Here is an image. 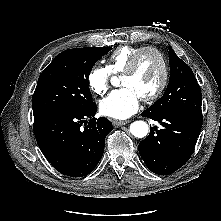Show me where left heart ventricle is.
Wrapping results in <instances>:
<instances>
[{
  "instance_id": "obj_1",
  "label": "left heart ventricle",
  "mask_w": 221,
  "mask_h": 221,
  "mask_svg": "<svg viewBox=\"0 0 221 221\" xmlns=\"http://www.w3.org/2000/svg\"><path fill=\"white\" fill-rule=\"evenodd\" d=\"M162 78V65L154 53H144L133 75L122 76L121 85L132 88L140 98L152 93Z\"/></svg>"
}]
</instances>
